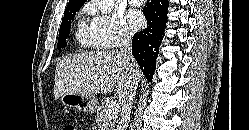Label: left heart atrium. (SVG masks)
Returning a JSON list of instances; mask_svg holds the SVG:
<instances>
[{
	"label": "left heart atrium",
	"instance_id": "1",
	"mask_svg": "<svg viewBox=\"0 0 249 130\" xmlns=\"http://www.w3.org/2000/svg\"><path fill=\"white\" fill-rule=\"evenodd\" d=\"M130 21H131V24L133 25V27L139 28V27H141L143 25L144 18H143V16L140 13L133 12L130 15Z\"/></svg>",
	"mask_w": 249,
	"mask_h": 130
}]
</instances>
